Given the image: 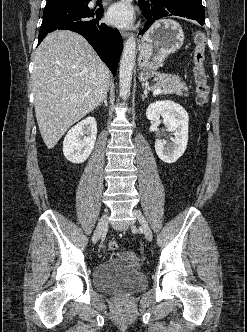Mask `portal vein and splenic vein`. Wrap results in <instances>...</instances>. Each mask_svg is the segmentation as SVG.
I'll return each mask as SVG.
<instances>
[{
  "instance_id": "1",
  "label": "portal vein and splenic vein",
  "mask_w": 247,
  "mask_h": 332,
  "mask_svg": "<svg viewBox=\"0 0 247 332\" xmlns=\"http://www.w3.org/2000/svg\"><path fill=\"white\" fill-rule=\"evenodd\" d=\"M162 92V89L161 88H157V89H155L154 91H153V94L154 95H157V94H159V93H161Z\"/></svg>"
}]
</instances>
